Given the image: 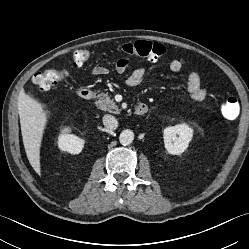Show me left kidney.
<instances>
[{
  "label": "left kidney",
  "instance_id": "left-kidney-1",
  "mask_svg": "<svg viewBox=\"0 0 249 249\" xmlns=\"http://www.w3.org/2000/svg\"><path fill=\"white\" fill-rule=\"evenodd\" d=\"M193 136V129L187 124H178L164 129L163 138L166 150L173 155L182 154Z\"/></svg>",
  "mask_w": 249,
  "mask_h": 249
}]
</instances>
